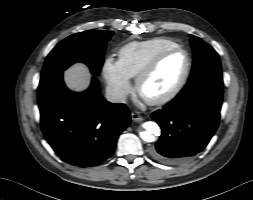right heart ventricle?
<instances>
[{
  "instance_id": "e07e8e85",
  "label": "right heart ventricle",
  "mask_w": 253,
  "mask_h": 200,
  "mask_svg": "<svg viewBox=\"0 0 253 200\" xmlns=\"http://www.w3.org/2000/svg\"><path fill=\"white\" fill-rule=\"evenodd\" d=\"M174 46H177V44L166 38L133 41L120 48L118 52L119 62L130 78L136 77L156 54Z\"/></svg>"
}]
</instances>
